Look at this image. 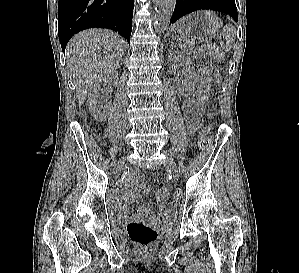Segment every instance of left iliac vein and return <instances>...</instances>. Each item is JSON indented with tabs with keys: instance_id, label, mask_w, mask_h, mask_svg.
Listing matches in <instances>:
<instances>
[{
	"instance_id": "obj_1",
	"label": "left iliac vein",
	"mask_w": 299,
	"mask_h": 273,
	"mask_svg": "<svg viewBox=\"0 0 299 273\" xmlns=\"http://www.w3.org/2000/svg\"><path fill=\"white\" fill-rule=\"evenodd\" d=\"M166 155V160L164 162V166L166 169L169 171V173L174 177L178 178L179 177V172L177 169V165L174 161V159L169 155L167 151H163Z\"/></svg>"
}]
</instances>
